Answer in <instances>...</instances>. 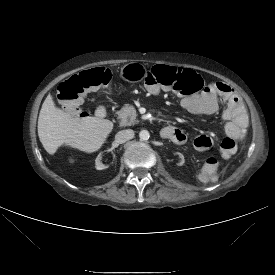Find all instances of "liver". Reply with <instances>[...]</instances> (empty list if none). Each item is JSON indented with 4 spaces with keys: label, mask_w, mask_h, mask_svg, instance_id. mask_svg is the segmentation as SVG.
Wrapping results in <instances>:
<instances>
[{
    "label": "liver",
    "mask_w": 275,
    "mask_h": 275,
    "mask_svg": "<svg viewBox=\"0 0 275 275\" xmlns=\"http://www.w3.org/2000/svg\"><path fill=\"white\" fill-rule=\"evenodd\" d=\"M113 129L108 119L73 118L55 106L48 95L38 118V136L44 149L53 155L60 146H69L86 153L98 151Z\"/></svg>",
    "instance_id": "obj_1"
}]
</instances>
